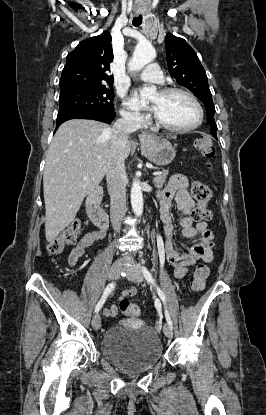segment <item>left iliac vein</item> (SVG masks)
<instances>
[{"mask_svg": "<svg viewBox=\"0 0 266 415\" xmlns=\"http://www.w3.org/2000/svg\"><path fill=\"white\" fill-rule=\"evenodd\" d=\"M128 279L134 283H140L143 280V273L139 266L134 265L132 270L128 273ZM163 332L168 338L173 337V331L169 324H164Z\"/></svg>", "mask_w": 266, "mask_h": 415, "instance_id": "obj_1", "label": "left iliac vein"}]
</instances>
